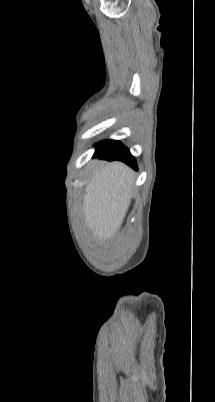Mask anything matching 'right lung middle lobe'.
<instances>
[{"label": "right lung middle lobe", "mask_w": 215, "mask_h": 402, "mask_svg": "<svg viewBox=\"0 0 215 402\" xmlns=\"http://www.w3.org/2000/svg\"><path fill=\"white\" fill-rule=\"evenodd\" d=\"M117 142H119V141L107 140V141H104V142L100 143V145H114V144H116Z\"/></svg>", "instance_id": "dd1d6c3e"}]
</instances>
